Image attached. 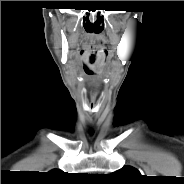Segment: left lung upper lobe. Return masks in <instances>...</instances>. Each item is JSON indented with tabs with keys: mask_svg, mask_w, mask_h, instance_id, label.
<instances>
[{
	"mask_svg": "<svg viewBox=\"0 0 184 184\" xmlns=\"http://www.w3.org/2000/svg\"><path fill=\"white\" fill-rule=\"evenodd\" d=\"M117 179L124 181V182H134L137 181L141 174L139 171L131 166H125L120 170L114 173Z\"/></svg>",
	"mask_w": 184,
	"mask_h": 184,
	"instance_id": "left-lung-upper-lobe-1",
	"label": "left lung upper lobe"
}]
</instances>
